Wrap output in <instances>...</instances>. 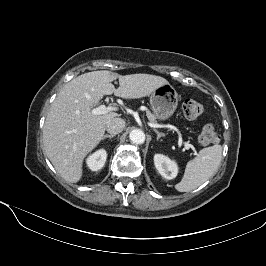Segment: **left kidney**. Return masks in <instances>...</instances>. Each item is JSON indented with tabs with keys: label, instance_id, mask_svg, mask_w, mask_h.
I'll use <instances>...</instances> for the list:
<instances>
[{
	"label": "left kidney",
	"instance_id": "1",
	"mask_svg": "<svg viewBox=\"0 0 266 266\" xmlns=\"http://www.w3.org/2000/svg\"><path fill=\"white\" fill-rule=\"evenodd\" d=\"M154 164L158 172L165 179L171 180L177 176L178 166L177 163L167 156L162 154H155Z\"/></svg>",
	"mask_w": 266,
	"mask_h": 266
}]
</instances>
